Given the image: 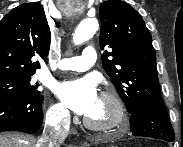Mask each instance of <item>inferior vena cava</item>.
Instances as JSON below:
<instances>
[{
  "mask_svg": "<svg viewBox=\"0 0 183 147\" xmlns=\"http://www.w3.org/2000/svg\"><path fill=\"white\" fill-rule=\"evenodd\" d=\"M70 118L67 112L53 115L46 123L36 147H60L69 132Z\"/></svg>",
  "mask_w": 183,
  "mask_h": 147,
  "instance_id": "obj_1",
  "label": "inferior vena cava"
}]
</instances>
